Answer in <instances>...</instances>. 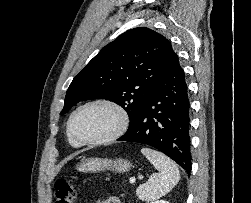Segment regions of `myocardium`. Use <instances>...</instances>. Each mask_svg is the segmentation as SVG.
<instances>
[{"instance_id": "1", "label": "myocardium", "mask_w": 251, "mask_h": 203, "mask_svg": "<svg viewBox=\"0 0 251 203\" xmlns=\"http://www.w3.org/2000/svg\"><path fill=\"white\" fill-rule=\"evenodd\" d=\"M92 106H104L109 109H111L113 112L116 113L118 117V122L116 127L107 134L106 136H103L101 138L97 139H91V140H86V139H81L73 131V121L75 116L83 109H86L88 107ZM129 115L126 109L121 106L120 104L109 100V99H94L91 101H88L80 106H78L70 115L68 123H67V131L69 136L79 145H101V144H107L110 143L118 138H120L128 129L129 126Z\"/></svg>"}]
</instances>
